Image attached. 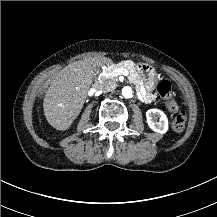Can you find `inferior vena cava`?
<instances>
[{"label":"inferior vena cava","instance_id":"602c4592","mask_svg":"<svg viewBox=\"0 0 217 217\" xmlns=\"http://www.w3.org/2000/svg\"><path fill=\"white\" fill-rule=\"evenodd\" d=\"M97 89H101L104 92H108V88L106 86L97 87Z\"/></svg>","mask_w":217,"mask_h":217}]
</instances>
